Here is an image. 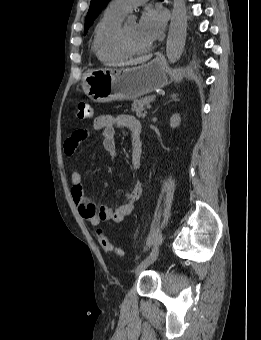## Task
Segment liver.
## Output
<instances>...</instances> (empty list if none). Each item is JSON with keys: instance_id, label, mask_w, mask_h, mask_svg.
I'll return each instance as SVG.
<instances>
[{"instance_id": "liver-1", "label": "liver", "mask_w": 261, "mask_h": 340, "mask_svg": "<svg viewBox=\"0 0 261 340\" xmlns=\"http://www.w3.org/2000/svg\"><path fill=\"white\" fill-rule=\"evenodd\" d=\"M148 59H149V57H142V58H138V59H135V60L128 61L127 63H125L123 65H137V64H141V63L146 62Z\"/></svg>"}]
</instances>
